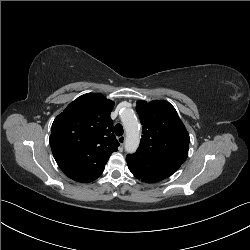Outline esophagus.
Masks as SVG:
<instances>
[{
	"mask_svg": "<svg viewBox=\"0 0 250 250\" xmlns=\"http://www.w3.org/2000/svg\"><path fill=\"white\" fill-rule=\"evenodd\" d=\"M125 136L123 135V136H120V137H118V141H119V143L123 146L124 145V143H125Z\"/></svg>",
	"mask_w": 250,
	"mask_h": 250,
	"instance_id": "1",
	"label": "esophagus"
}]
</instances>
